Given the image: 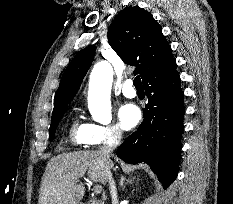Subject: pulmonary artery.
I'll return each mask as SVG.
<instances>
[{"label": "pulmonary artery", "mask_w": 233, "mask_h": 204, "mask_svg": "<svg viewBox=\"0 0 233 204\" xmlns=\"http://www.w3.org/2000/svg\"><path fill=\"white\" fill-rule=\"evenodd\" d=\"M122 93L127 98H134L136 96V90L133 88V82L128 79L122 86Z\"/></svg>", "instance_id": "pulmonary-artery-1"}]
</instances>
